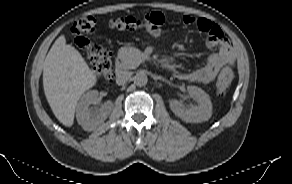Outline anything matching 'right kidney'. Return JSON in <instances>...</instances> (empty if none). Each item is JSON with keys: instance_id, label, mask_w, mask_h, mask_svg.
<instances>
[{"instance_id": "1", "label": "right kidney", "mask_w": 292, "mask_h": 184, "mask_svg": "<svg viewBox=\"0 0 292 184\" xmlns=\"http://www.w3.org/2000/svg\"><path fill=\"white\" fill-rule=\"evenodd\" d=\"M99 93L97 90H90L84 94L76 108V118L78 124L82 126L85 131H93L100 124H102L111 113L112 102L104 103L99 109L90 110V104L96 103Z\"/></svg>"}]
</instances>
